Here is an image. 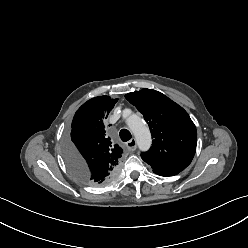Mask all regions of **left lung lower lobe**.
I'll use <instances>...</instances> for the list:
<instances>
[{
  "mask_svg": "<svg viewBox=\"0 0 248 248\" xmlns=\"http://www.w3.org/2000/svg\"><path fill=\"white\" fill-rule=\"evenodd\" d=\"M182 170H171V171H157L153 170L154 173L160 176L168 177V176H173L181 172Z\"/></svg>",
  "mask_w": 248,
  "mask_h": 248,
  "instance_id": "left-lung-lower-lobe-1",
  "label": "left lung lower lobe"
}]
</instances>
